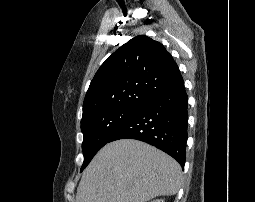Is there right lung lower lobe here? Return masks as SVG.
Returning <instances> with one entry per match:
<instances>
[{"label": "right lung lower lobe", "mask_w": 255, "mask_h": 202, "mask_svg": "<svg viewBox=\"0 0 255 202\" xmlns=\"http://www.w3.org/2000/svg\"><path fill=\"white\" fill-rule=\"evenodd\" d=\"M188 96L184 85L160 94L139 110L111 137L137 139L172 156L182 167L186 159Z\"/></svg>", "instance_id": "1"}]
</instances>
